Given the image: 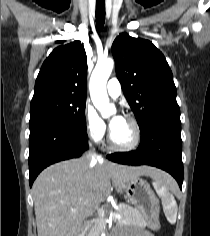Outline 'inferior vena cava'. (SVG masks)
<instances>
[{
	"instance_id": "inferior-vena-cava-1",
	"label": "inferior vena cava",
	"mask_w": 210,
	"mask_h": 236,
	"mask_svg": "<svg viewBox=\"0 0 210 236\" xmlns=\"http://www.w3.org/2000/svg\"><path fill=\"white\" fill-rule=\"evenodd\" d=\"M86 157H87L88 162H93L97 159V155L94 152V150L88 151Z\"/></svg>"
}]
</instances>
